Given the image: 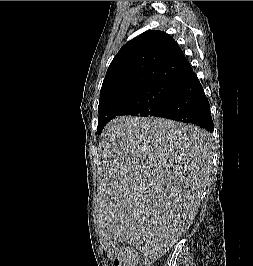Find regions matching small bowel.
Instances as JSON below:
<instances>
[{
	"mask_svg": "<svg viewBox=\"0 0 253 266\" xmlns=\"http://www.w3.org/2000/svg\"><path fill=\"white\" fill-rule=\"evenodd\" d=\"M132 253V252H131ZM133 254V253H132ZM133 256L135 257V255L133 254ZM135 260H136V257H135Z\"/></svg>",
	"mask_w": 253,
	"mask_h": 266,
	"instance_id": "small-bowel-1",
	"label": "small bowel"
}]
</instances>
